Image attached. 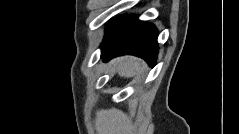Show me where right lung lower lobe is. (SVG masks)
Returning a JSON list of instances; mask_svg holds the SVG:
<instances>
[{"mask_svg": "<svg viewBox=\"0 0 239 134\" xmlns=\"http://www.w3.org/2000/svg\"><path fill=\"white\" fill-rule=\"evenodd\" d=\"M157 36L158 31L153 24L139 21L135 15H122L108 25L101 47V58L107 61L119 55L131 54L155 65Z\"/></svg>", "mask_w": 239, "mask_h": 134, "instance_id": "obj_1", "label": "right lung lower lobe"}]
</instances>
